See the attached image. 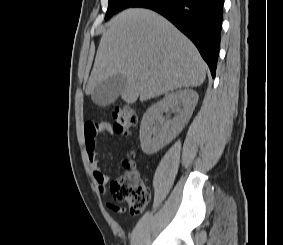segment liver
<instances>
[{
  "instance_id": "6515ba94",
  "label": "liver",
  "mask_w": 283,
  "mask_h": 245,
  "mask_svg": "<svg viewBox=\"0 0 283 245\" xmlns=\"http://www.w3.org/2000/svg\"><path fill=\"white\" fill-rule=\"evenodd\" d=\"M206 69L195 45L167 19L148 9L129 8L113 18L103 33L86 94L120 74L127 80L122 100L145 101L200 86Z\"/></svg>"
}]
</instances>
